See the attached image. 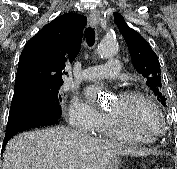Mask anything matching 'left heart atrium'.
Instances as JSON below:
<instances>
[{
  "instance_id": "obj_1",
  "label": "left heart atrium",
  "mask_w": 177,
  "mask_h": 169,
  "mask_svg": "<svg viewBox=\"0 0 177 169\" xmlns=\"http://www.w3.org/2000/svg\"><path fill=\"white\" fill-rule=\"evenodd\" d=\"M98 92H99V89H98L97 87H88V88L85 90V96H86L89 100L95 101Z\"/></svg>"
}]
</instances>
